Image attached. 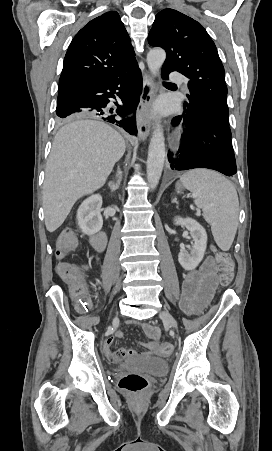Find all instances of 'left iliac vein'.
Wrapping results in <instances>:
<instances>
[{"mask_svg": "<svg viewBox=\"0 0 272 451\" xmlns=\"http://www.w3.org/2000/svg\"><path fill=\"white\" fill-rule=\"evenodd\" d=\"M161 319L167 323L171 328L177 329V322L174 317L168 311L160 312Z\"/></svg>", "mask_w": 272, "mask_h": 451, "instance_id": "4c4485c4", "label": "left iliac vein"}]
</instances>
